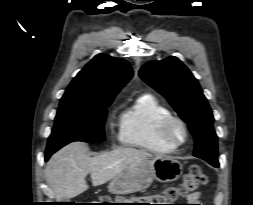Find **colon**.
<instances>
[{
  "label": "colon",
  "instance_id": "1",
  "mask_svg": "<svg viewBox=\"0 0 253 205\" xmlns=\"http://www.w3.org/2000/svg\"><path fill=\"white\" fill-rule=\"evenodd\" d=\"M207 184V177L199 165H192L187 170L183 180L176 186H170L162 191L140 198L127 200L124 197L101 198L102 205H175L171 204L180 198L189 197ZM133 203V204H128ZM81 205V204H76Z\"/></svg>",
  "mask_w": 253,
  "mask_h": 205
}]
</instances>
